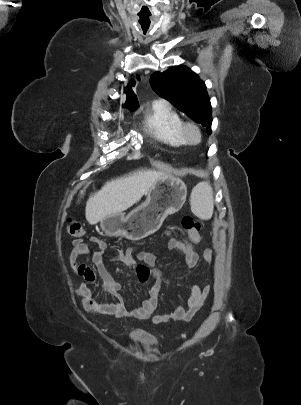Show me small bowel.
I'll return each mask as SVG.
<instances>
[{
  "mask_svg": "<svg viewBox=\"0 0 301 405\" xmlns=\"http://www.w3.org/2000/svg\"><path fill=\"white\" fill-rule=\"evenodd\" d=\"M165 236L168 238V250H174L182 254L186 266L188 268H194L198 261V254L195 247L192 246L190 242H184V237L173 231L166 232ZM89 239L97 245V249L92 252L91 257L97 268L101 283L95 288H89L85 285L79 287L78 293L83 298L85 304L95 293H107L114 298V301L104 307L103 311L106 314L114 315L117 318H123L126 316H133L138 319L149 318L157 309L162 294L161 275L160 272L154 268L156 264V256L149 251H139L136 253V258L139 261L138 263L133 257L134 251L129 249L125 252H121L112 260V262L120 261L129 267H133L136 271L137 278L141 283H146L150 278L154 280L153 285L148 291V298H146L139 307L130 311L120 294L121 285L108 270L107 262L104 258V253L109 247L108 244L95 236H91ZM72 244L73 248L69 255L72 270L76 274L84 277L88 282L96 283L98 277L94 271L90 267L78 263L80 257L90 254L89 246L81 238L74 239ZM203 256L208 262H210L212 260V250H204ZM210 289L209 285L202 288L193 286L190 290L186 307L177 305L172 314L154 316L153 321L156 323L189 321L202 308L210 293Z\"/></svg>",
  "mask_w": 301,
  "mask_h": 405,
  "instance_id": "c3829d8e",
  "label": "small bowel"
}]
</instances>
